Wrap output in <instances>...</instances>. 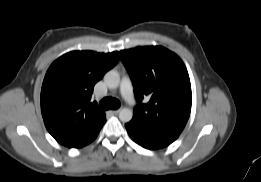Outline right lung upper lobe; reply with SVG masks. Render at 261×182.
<instances>
[{
	"label": "right lung upper lobe",
	"instance_id": "obj_1",
	"mask_svg": "<svg viewBox=\"0 0 261 182\" xmlns=\"http://www.w3.org/2000/svg\"><path fill=\"white\" fill-rule=\"evenodd\" d=\"M118 61L117 51H72L52 63L41 89V112L57 142L80 148L101 129L106 116L90 99L95 83Z\"/></svg>",
	"mask_w": 261,
	"mask_h": 182
}]
</instances>
